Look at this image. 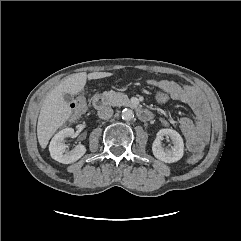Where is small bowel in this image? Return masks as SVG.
I'll list each match as a JSON object with an SVG mask.
<instances>
[{
    "label": "small bowel",
    "instance_id": "obj_1",
    "mask_svg": "<svg viewBox=\"0 0 241 241\" xmlns=\"http://www.w3.org/2000/svg\"><path fill=\"white\" fill-rule=\"evenodd\" d=\"M147 83L169 93L171 99L187 104L195 114V119L183 117L179 126L186 139L189 151L199 153L207 144L210 135V121L206 103L199 91L189 85H180L170 80L147 79ZM164 126L167 125L162 120Z\"/></svg>",
    "mask_w": 241,
    "mask_h": 241
}]
</instances>
